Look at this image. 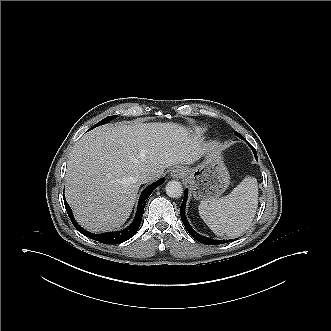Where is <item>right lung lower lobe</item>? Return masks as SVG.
I'll use <instances>...</instances> for the list:
<instances>
[{"label":"right lung lower lobe","mask_w":331,"mask_h":331,"mask_svg":"<svg viewBox=\"0 0 331 331\" xmlns=\"http://www.w3.org/2000/svg\"><path fill=\"white\" fill-rule=\"evenodd\" d=\"M165 181V178H161L158 181L154 182L153 184L146 187L139 198L138 206H137V212L134 218V221L124 230L116 231V232H110V233H103V234H93L86 230H84L80 225L77 224L76 220L73 218L71 208L69 207L66 200L64 201L65 208L67 210V213L73 223V225L76 227V229L82 233L83 235L99 241L104 244H119L122 243L128 239H130L134 234L138 231V228L140 226L142 216L144 213V207L147 202V198L152 193V191L160 186Z\"/></svg>","instance_id":"obj_1"}]
</instances>
